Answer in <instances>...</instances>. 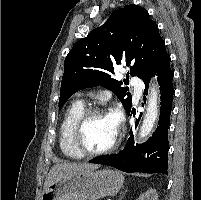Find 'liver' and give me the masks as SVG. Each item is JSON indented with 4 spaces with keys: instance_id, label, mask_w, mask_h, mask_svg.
Wrapping results in <instances>:
<instances>
[{
    "instance_id": "obj_1",
    "label": "liver",
    "mask_w": 201,
    "mask_h": 200,
    "mask_svg": "<svg viewBox=\"0 0 201 200\" xmlns=\"http://www.w3.org/2000/svg\"><path fill=\"white\" fill-rule=\"evenodd\" d=\"M99 166L96 164H88V163H61L54 165L44 183V190H46L51 184L55 183L56 181L74 174L83 171H92L97 169Z\"/></svg>"
}]
</instances>
